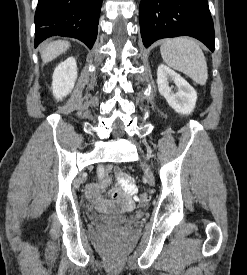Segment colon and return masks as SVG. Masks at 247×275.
Masks as SVG:
<instances>
[{"label":"colon","mask_w":247,"mask_h":275,"mask_svg":"<svg viewBox=\"0 0 247 275\" xmlns=\"http://www.w3.org/2000/svg\"><path fill=\"white\" fill-rule=\"evenodd\" d=\"M149 192L147 190H144L139 197H137V202L140 206H145L147 205L149 201Z\"/></svg>","instance_id":"obj_1"}]
</instances>
